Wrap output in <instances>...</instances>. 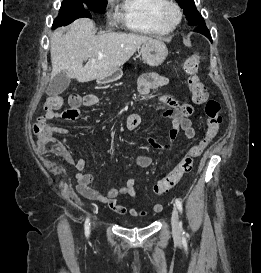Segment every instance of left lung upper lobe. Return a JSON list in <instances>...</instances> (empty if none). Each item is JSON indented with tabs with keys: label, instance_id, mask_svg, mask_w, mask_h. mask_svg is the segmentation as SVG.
I'll return each mask as SVG.
<instances>
[{
	"label": "left lung upper lobe",
	"instance_id": "1",
	"mask_svg": "<svg viewBox=\"0 0 261 273\" xmlns=\"http://www.w3.org/2000/svg\"><path fill=\"white\" fill-rule=\"evenodd\" d=\"M181 8H183V12L186 15L187 20L189 21L190 26H198L201 24H205L203 17L197 11L195 7L194 0H176Z\"/></svg>",
	"mask_w": 261,
	"mask_h": 273
}]
</instances>
